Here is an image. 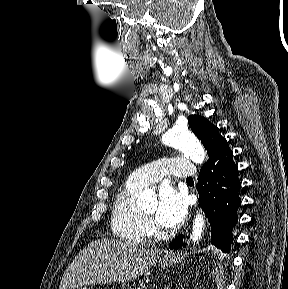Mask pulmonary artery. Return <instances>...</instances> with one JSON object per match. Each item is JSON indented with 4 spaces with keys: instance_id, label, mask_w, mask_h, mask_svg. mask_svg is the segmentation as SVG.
<instances>
[{
    "instance_id": "pulmonary-artery-1",
    "label": "pulmonary artery",
    "mask_w": 288,
    "mask_h": 289,
    "mask_svg": "<svg viewBox=\"0 0 288 289\" xmlns=\"http://www.w3.org/2000/svg\"><path fill=\"white\" fill-rule=\"evenodd\" d=\"M194 174L195 167L189 160L165 157L136 169L129 175L127 181L133 185L145 187L158 182L164 176L188 178Z\"/></svg>"
}]
</instances>
